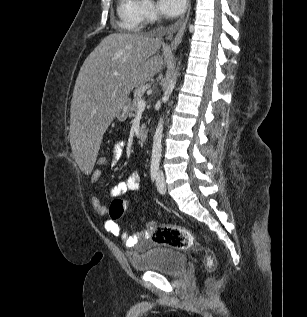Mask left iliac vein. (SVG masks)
<instances>
[{
    "label": "left iliac vein",
    "instance_id": "1",
    "mask_svg": "<svg viewBox=\"0 0 307 317\" xmlns=\"http://www.w3.org/2000/svg\"><path fill=\"white\" fill-rule=\"evenodd\" d=\"M156 186H157V189L160 193H164L165 190H166V187H165V180H164V176L162 173H159L158 174V177H157V181H156Z\"/></svg>",
    "mask_w": 307,
    "mask_h": 317
}]
</instances>
